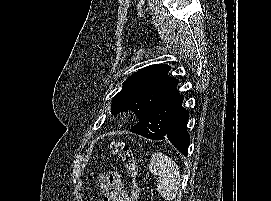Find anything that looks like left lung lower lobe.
<instances>
[{
	"label": "left lung lower lobe",
	"instance_id": "1",
	"mask_svg": "<svg viewBox=\"0 0 271 201\" xmlns=\"http://www.w3.org/2000/svg\"><path fill=\"white\" fill-rule=\"evenodd\" d=\"M183 95H179L178 101L173 108L166 134L159 140H169L179 152L187 156L190 137L187 132L188 111L182 107ZM130 131L140 134L142 128L137 124Z\"/></svg>",
	"mask_w": 271,
	"mask_h": 201
}]
</instances>
